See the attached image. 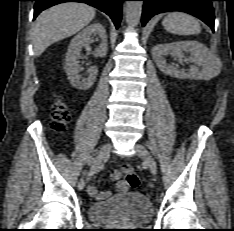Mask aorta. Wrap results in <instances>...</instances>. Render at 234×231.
Instances as JSON below:
<instances>
[{
  "label": "aorta",
  "mask_w": 234,
  "mask_h": 231,
  "mask_svg": "<svg viewBox=\"0 0 234 231\" xmlns=\"http://www.w3.org/2000/svg\"><path fill=\"white\" fill-rule=\"evenodd\" d=\"M142 1H127L125 4V21L131 27H136L142 13Z\"/></svg>",
  "instance_id": "aorta-1"
}]
</instances>
